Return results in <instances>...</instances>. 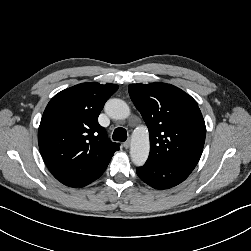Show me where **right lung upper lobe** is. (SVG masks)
<instances>
[{
  "label": "right lung upper lobe",
  "mask_w": 251,
  "mask_h": 251,
  "mask_svg": "<svg viewBox=\"0 0 251 251\" xmlns=\"http://www.w3.org/2000/svg\"><path fill=\"white\" fill-rule=\"evenodd\" d=\"M116 84L82 83L56 94L48 103L38 130L41 155L53 176L77 187L107 168L119 143L107 140L98 116L117 91Z\"/></svg>",
  "instance_id": "1"
}]
</instances>
